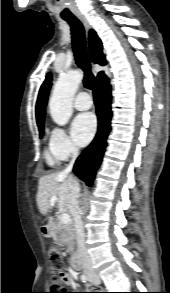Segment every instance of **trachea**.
Listing matches in <instances>:
<instances>
[{"label":"trachea","instance_id":"3493384b","mask_svg":"<svg viewBox=\"0 0 170 293\" xmlns=\"http://www.w3.org/2000/svg\"><path fill=\"white\" fill-rule=\"evenodd\" d=\"M65 21L71 27L72 46L76 63L84 71L83 84L86 88L92 89L94 76L91 72L90 61L87 55L84 27L76 17L65 19Z\"/></svg>","mask_w":170,"mask_h":293}]
</instances>
